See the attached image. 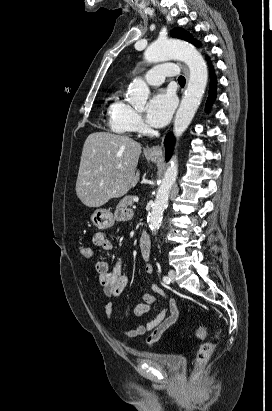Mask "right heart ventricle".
<instances>
[{
    "mask_svg": "<svg viewBox=\"0 0 272 411\" xmlns=\"http://www.w3.org/2000/svg\"><path fill=\"white\" fill-rule=\"evenodd\" d=\"M131 107L119 97V93H114L110 99L107 114L110 127L114 132L127 134L130 132L128 115Z\"/></svg>",
    "mask_w": 272,
    "mask_h": 411,
    "instance_id": "obj_1",
    "label": "right heart ventricle"
}]
</instances>
